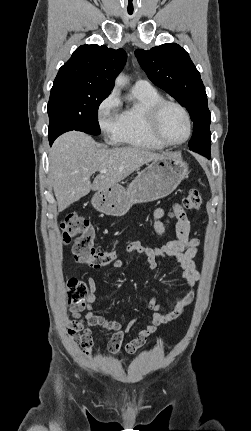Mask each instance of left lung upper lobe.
I'll list each match as a JSON object with an SVG mask.
<instances>
[{
    "instance_id": "5c2ea615",
    "label": "left lung upper lobe",
    "mask_w": 251,
    "mask_h": 431,
    "mask_svg": "<svg viewBox=\"0 0 251 431\" xmlns=\"http://www.w3.org/2000/svg\"><path fill=\"white\" fill-rule=\"evenodd\" d=\"M135 56L148 78L188 110L199 130L193 131L190 150L209 157L211 113L200 73L189 54L178 44L167 43L150 50L137 49Z\"/></svg>"
}]
</instances>
